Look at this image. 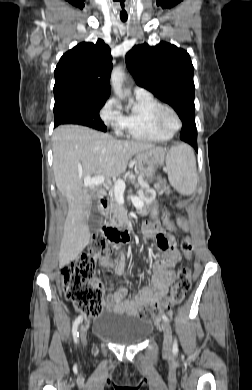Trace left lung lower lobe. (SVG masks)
Masks as SVG:
<instances>
[{
    "instance_id": "1",
    "label": "left lung lower lobe",
    "mask_w": 252,
    "mask_h": 390,
    "mask_svg": "<svg viewBox=\"0 0 252 390\" xmlns=\"http://www.w3.org/2000/svg\"><path fill=\"white\" fill-rule=\"evenodd\" d=\"M180 138L183 141L191 144L197 151V130L195 125V119L194 120L187 119L183 121V128H182Z\"/></svg>"
}]
</instances>
